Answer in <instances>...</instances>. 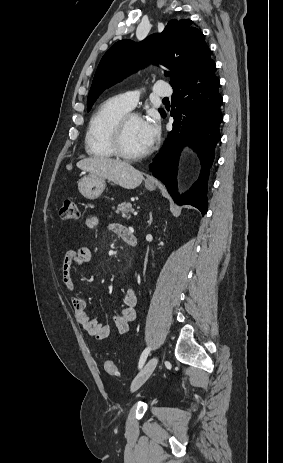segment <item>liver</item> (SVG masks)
Instances as JSON below:
<instances>
[{"instance_id": "obj_1", "label": "liver", "mask_w": 283, "mask_h": 463, "mask_svg": "<svg viewBox=\"0 0 283 463\" xmlns=\"http://www.w3.org/2000/svg\"><path fill=\"white\" fill-rule=\"evenodd\" d=\"M77 167L104 179H108L125 189H134L143 181V174L132 165L119 159L89 157L77 162Z\"/></svg>"}]
</instances>
